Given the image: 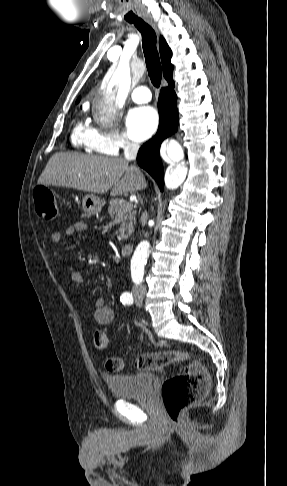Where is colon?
Returning <instances> with one entry per match:
<instances>
[{"instance_id":"colon-1","label":"colon","mask_w":287,"mask_h":486,"mask_svg":"<svg viewBox=\"0 0 287 486\" xmlns=\"http://www.w3.org/2000/svg\"><path fill=\"white\" fill-rule=\"evenodd\" d=\"M37 214L46 221L53 220L58 214V204L54 193L46 186H37L33 191ZM94 346L99 351L109 348V339L102 331L94 334ZM185 363L183 372L167 378L161 388L164 412L172 423L176 424L180 412L200 399L209 389L210 379L206 368L192 359L187 353L167 350L139 355L134 360V367L140 371L158 370L169 364ZM124 361L117 356L105 360V368L111 372L124 369Z\"/></svg>"}]
</instances>
